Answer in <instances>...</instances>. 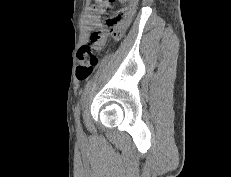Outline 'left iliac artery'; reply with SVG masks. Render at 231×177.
Segmentation results:
<instances>
[{"instance_id": "1", "label": "left iliac artery", "mask_w": 231, "mask_h": 177, "mask_svg": "<svg viewBox=\"0 0 231 177\" xmlns=\"http://www.w3.org/2000/svg\"><path fill=\"white\" fill-rule=\"evenodd\" d=\"M74 116H75V121L77 123L78 128L81 129V124H80V102H78V104H77V106L75 108Z\"/></svg>"}]
</instances>
